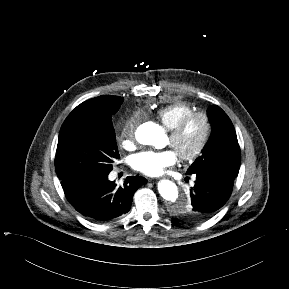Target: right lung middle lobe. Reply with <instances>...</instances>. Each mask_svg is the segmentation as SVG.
I'll return each mask as SVG.
<instances>
[{"label":"right lung middle lobe","mask_w":289,"mask_h":289,"mask_svg":"<svg viewBox=\"0 0 289 289\" xmlns=\"http://www.w3.org/2000/svg\"><path fill=\"white\" fill-rule=\"evenodd\" d=\"M123 98L102 95L78 105L64 121L55 156L59 179L109 174L120 158L112 116Z\"/></svg>","instance_id":"dd1d6c3e"}]
</instances>
